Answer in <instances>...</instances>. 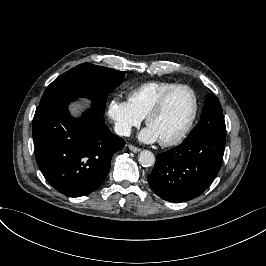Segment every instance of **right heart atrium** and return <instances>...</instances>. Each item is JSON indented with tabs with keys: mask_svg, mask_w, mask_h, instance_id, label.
Returning a JSON list of instances; mask_svg holds the SVG:
<instances>
[{
	"mask_svg": "<svg viewBox=\"0 0 266 266\" xmlns=\"http://www.w3.org/2000/svg\"><path fill=\"white\" fill-rule=\"evenodd\" d=\"M107 114L121 135L129 134L143 119L128 99H121L118 96H112L108 100Z\"/></svg>",
	"mask_w": 266,
	"mask_h": 266,
	"instance_id": "d8ad5b80",
	"label": "right heart atrium"
}]
</instances>
